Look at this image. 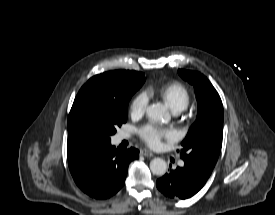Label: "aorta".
Instances as JSON below:
<instances>
[{
    "label": "aorta",
    "mask_w": 275,
    "mask_h": 215,
    "mask_svg": "<svg viewBox=\"0 0 275 215\" xmlns=\"http://www.w3.org/2000/svg\"><path fill=\"white\" fill-rule=\"evenodd\" d=\"M146 114L150 120L155 122H168L170 119L167 109L159 104L148 106L146 109ZM150 169L153 174L162 176L167 171V164L165 160L161 158H154L150 162Z\"/></svg>",
    "instance_id": "1"
}]
</instances>
